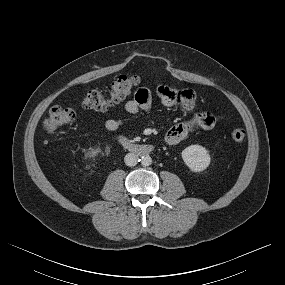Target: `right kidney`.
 <instances>
[{"label":"right kidney","instance_id":"ca27d5eb","mask_svg":"<svg viewBox=\"0 0 285 285\" xmlns=\"http://www.w3.org/2000/svg\"><path fill=\"white\" fill-rule=\"evenodd\" d=\"M100 152L99 149L91 150L89 152V157L94 158Z\"/></svg>","mask_w":285,"mask_h":285}]
</instances>
